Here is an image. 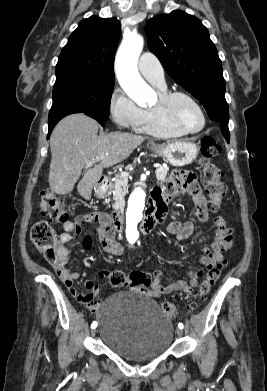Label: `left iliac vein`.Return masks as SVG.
Instances as JSON below:
<instances>
[{"mask_svg": "<svg viewBox=\"0 0 267 391\" xmlns=\"http://www.w3.org/2000/svg\"><path fill=\"white\" fill-rule=\"evenodd\" d=\"M176 334H177L178 336H181V335L183 334L182 329L177 328V329H176Z\"/></svg>", "mask_w": 267, "mask_h": 391, "instance_id": "left-iliac-vein-1", "label": "left iliac vein"}]
</instances>
